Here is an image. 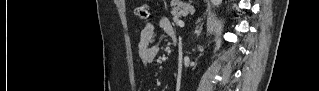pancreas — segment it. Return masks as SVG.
<instances>
[{"instance_id": "pancreas-1", "label": "pancreas", "mask_w": 319, "mask_h": 91, "mask_svg": "<svg viewBox=\"0 0 319 91\" xmlns=\"http://www.w3.org/2000/svg\"><path fill=\"white\" fill-rule=\"evenodd\" d=\"M191 10L192 7L187 4H183L181 2L174 3L171 11V15L173 16V22L177 23L182 14L188 13Z\"/></svg>"}]
</instances>
